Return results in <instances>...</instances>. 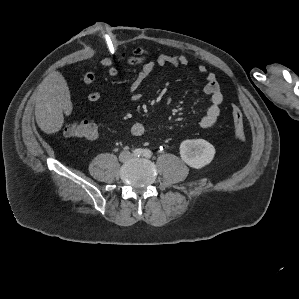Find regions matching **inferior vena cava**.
I'll return each instance as SVG.
<instances>
[{"label": "inferior vena cava", "instance_id": "obj_1", "mask_svg": "<svg viewBox=\"0 0 299 299\" xmlns=\"http://www.w3.org/2000/svg\"><path fill=\"white\" fill-rule=\"evenodd\" d=\"M121 159H123V154H121Z\"/></svg>", "mask_w": 299, "mask_h": 299}]
</instances>
